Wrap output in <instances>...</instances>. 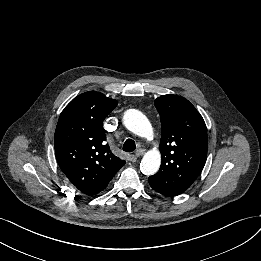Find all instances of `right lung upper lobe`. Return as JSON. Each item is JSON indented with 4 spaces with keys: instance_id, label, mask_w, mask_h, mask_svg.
<instances>
[{
    "instance_id": "1",
    "label": "right lung upper lobe",
    "mask_w": 261,
    "mask_h": 261,
    "mask_svg": "<svg viewBox=\"0 0 261 261\" xmlns=\"http://www.w3.org/2000/svg\"><path fill=\"white\" fill-rule=\"evenodd\" d=\"M117 101L97 91L75 97L62 111L55 130L57 162L83 194L103 191L125 161L105 143L103 121Z\"/></svg>"
}]
</instances>
